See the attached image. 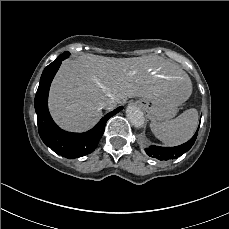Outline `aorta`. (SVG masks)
<instances>
[{
    "instance_id": "obj_1",
    "label": "aorta",
    "mask_w": 229,
    "mask_h": 229,
    "mask_svg": "<svg viewBox=\"0 0 229 229\" xmlns=\"http://www.w3.org/2000/svg\"><path fill=\"white\" fill-rule=\"evenodd\" d=\"M126 116L128 117L131 124L136 128H140L144 125V114L136 106H128L126 109Z\"/></svg>"
}]
</instances>
